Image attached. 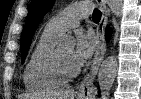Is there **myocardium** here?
Masks as SVG:
<instances>
[{
  "label": "myocardium",
  "instance_id": "myocardium-1",
  "mask_svg": "<svg viewBox=\"0 0 141 99\" xmlns=\"http://www.w3.org/2000/svg\"><path fill=\"white\" fill-rule=\"evenodd\" d=\"M49 63L52 73L63 82L74 78L79 72L78 68L68 69L62 64L58 55V49L52 51Z\"/></svg>",
  "mask_w": 141,
  "mask_h": 99
}]
</instances>
